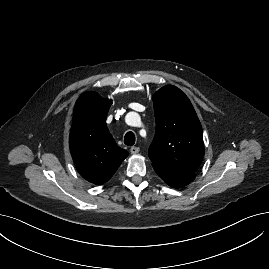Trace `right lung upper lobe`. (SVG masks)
<instances>
[{"label": "right lung upper lobe", "instance_id": "1", "mask_svg": "<svg viewBox=\"0 0 269 269\" xmlns=\"http://www.w3.org/2000/svg\"><path fill=\"white\" fill-rule=\"evenodd\" d=\"M111 103L95 92H86L75 105L70 151L80 175L94 184L107 182L129 155L116 144L106 126Z\"/></svg>", "mask_w": 269, "mask_h": 269}]
</instances>
